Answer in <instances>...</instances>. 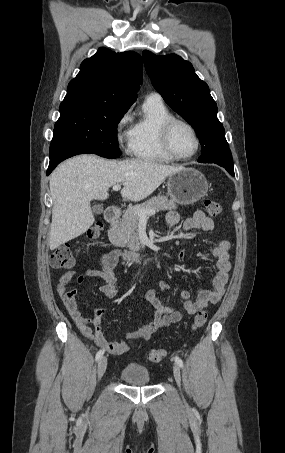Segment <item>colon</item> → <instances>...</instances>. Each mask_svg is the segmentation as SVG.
Here are the masks:
<instances>
[{
  "instance_id": "1",
  "label": "colon",
  "mask_w": 285,
  "mask_h": 453,
  "mask_svg": "<svg viewBox=\"0 0 285 453\" xmlns=\"http://www.w3.org/2000/svg\"><path fill=\"white\" fill-rule=\"evenodd\" d=\"M205 208L209 215L218 216L221 211V205L213 200H205ZM102 231V224L97 222L90 227L86 232V237L90 241L97 240ZM75 264V251L69 244L60 245L50 256V265L56 269L71 268ZM207 321V313L204 311L198 312L193 320V327L198 329ZM166 356V351L163 349L151 350L148 354V359L152 363H159Z\"/></svg>"
}]
</instances>
